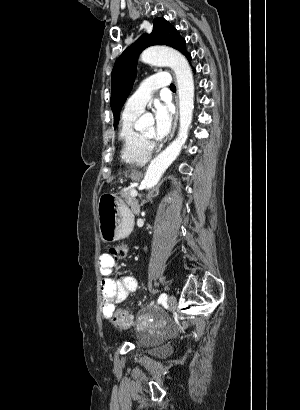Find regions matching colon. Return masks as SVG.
Returning <instances> with one entry per match:
<instances>
[{"instance_id": "1", "label": "colon", "mask_w": 300, "mask_h": 410, "mask_svg": "<svg viewBox=\"0 0 300 410\" xmlns=\"http://www.w3.org/2000/svg\"><path fill=\"white\" fill-rule=\"evenodd\" d=\"M109 253L117 260H123L128 256L129 248L127 245H114L109 249ZM111 321L115 326L128 327L132 325L133 318L125 310H116L111 314Z\"/></svg>"}]
</instances>
